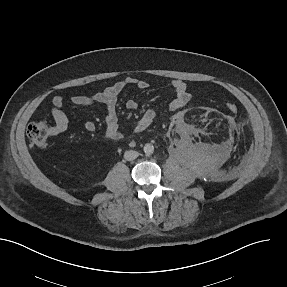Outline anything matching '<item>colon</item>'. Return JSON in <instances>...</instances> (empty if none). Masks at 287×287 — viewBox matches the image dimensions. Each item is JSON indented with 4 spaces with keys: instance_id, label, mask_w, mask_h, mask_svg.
Returning a JSON list of instances; mask_svg holds the SVG:
<instances>
[{
    "instance_id": "colon-1",
    "label": "colon",
    "mask_w": 287,
    "mask_h": 287,
    "mask_svg": "<svg viewBox=\"0 0 287 287\" xmlns=\"http://www.w3.org/2000/svg\"><path fill=\"white\" fill-rule=\"evenodd\" d=\"M226 109L231 113H236L238 107L235 103L228 102ZM27 135L35 147L44 149L48 146L50 127L45 121L33 122L28 126Z\"/></svg>"
}]
</instances>
